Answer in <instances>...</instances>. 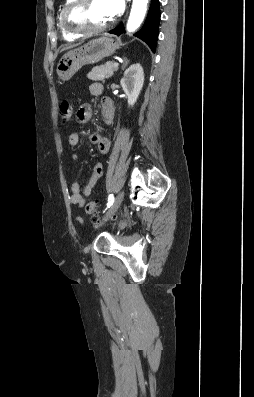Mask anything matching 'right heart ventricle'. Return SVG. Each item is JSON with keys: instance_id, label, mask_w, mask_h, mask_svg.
Returning <instances> with one entry per match:
<instances>
[{"instance_id": "right-heart-ventricle-1", "label": "right heart ventricle", "mask_w": 254, "mask_h": 397, "mask_svg": "<svg viewBox=\"0 0 254 397\" xmlns=\"http://www.w3.org/2000/svg\"><path fill=\"white\" fill-rule=\"evenodd\" d=\"M69 2H70V0H65L63 5H62V8H61L59 16H58V27H59L60 33H61V35H62L64 40H66V41H74L77 38H79L80 35L69 33L67 30H65V28L62 25V13H63L64 8L66 7V5Z\"/></svg>"}]
</instances>
